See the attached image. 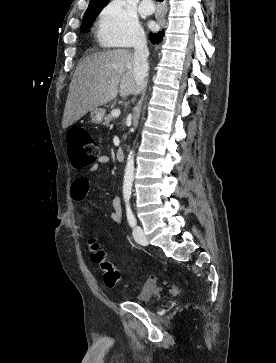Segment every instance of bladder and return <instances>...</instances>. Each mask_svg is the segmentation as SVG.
Here are the masks:
<instances>
[{
	"label": "bladder",
	"instance_id": "31cf9c89",
	"mask_svg": "<svg viewBox=\"0 0 276 363\" xmlns=\"http://www.w3.org/2000/svg\"><path fill=\"white\" fill-rule=\"evenodd\" d=\"M162 290L157 286H148L143 292L135 299L137 303L144 305H153L161 299Z\"/></svg>",
	"mask_w": 276,
	"mask_h": 363
}]
</instances>
